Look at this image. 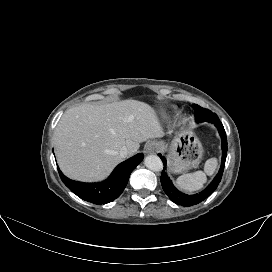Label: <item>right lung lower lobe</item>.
Instances as JSON below:
<instances>
[{"label":"right lung lower lobe","instance_id":"obj_1","mask_svg":"<svg viewBox=\"0 0 272 272\" xmlns=\"http://www.w3.org/2000/svg\"><path fill=\"white\" fill-rule=\"evenodd\" d=\"M143 154H137L119 164L109 178L101 183H82L67 178L58 168L63 183L78 197L93 204H106L120 196L127 185L131 172L143 160Z\"/></svg>","mask_w":272,"mask_h":272}]
</instances>
